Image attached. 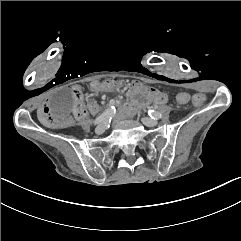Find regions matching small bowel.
Returning a JSON list of instances; mask_svg holds the SVG:
<instances>
[{
    "label": "small bowel",
    "mask_w": 241,
    "mask_h": 241,
    "mask_svg": "<svg viewBox=\"0 0 241 241\" xmlns=\"http://www.w3.org/2000/svg\"><path fill=\"white\" fill-rule=\"evenodd\" d=\"M101 83L102 88L97 91L113 92L120 89V91L122 92H127L130 89V84L127 81H122L120 82V84L115 81H105ZM131 87L135 91L140 90L146 92L150 99H154L158 103H163L166 100L165 93L157 92L152 87L143 82H134ZM51 107L52 99L49 96H42L39 99V103L37 104L38 113L36 114V122L40 126H47L49 128L51 127L57 129L60 127L61 124L63 126H66L74 121V118L72 116H67L65 119L61 121L60 124V122L56 119V115L53 112H49ZM89 108L91 112H95L97 110V106L93 101L90 102Z\"/></svg>",
    "instance_id": "c3829d8e"
}]
</instances>
